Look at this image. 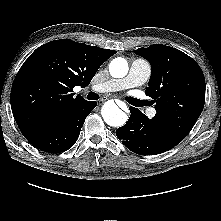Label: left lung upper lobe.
Returning <instances> with one entry per match:
<instances>
[{
	"label": "left lung upper lobe",
	"instance_id": "1",
	"mask_svg": "<svg viewBox=\"0 0 221 221\" xmlns=\"http://www.w3.org/2000/svg\"><path fill=\"white\" fill-rule=\"evenodd\" d=\"M134 53L151 64L147 96L156 103L157 120L175 142H181L199 118L205 102V78L199 65L182 51L154 44Z\"/></svg>",
	"mask_w": 221,
	"mask_h": 221
}]
</instances>
